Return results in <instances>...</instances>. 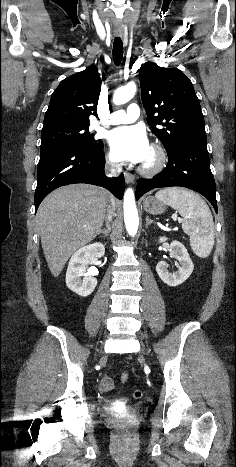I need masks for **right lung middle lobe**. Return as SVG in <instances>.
<instances>
[{"label":"right lung middle lobe","mask_w":236,"mask_h":467,"mask_svg":"<svg viewBox=\"0 0 236 467\" xmlns=\"http://www.w3.org/2000/svg\"><path fill=\"white\" fill-rule=\"evenodd\" d=\"M89 125H62L43 129L41 131L40 150L58 145H73L88 150H98L102 140H95L89 133Z\"/></svg>","instance_id":"dd1d6c3e"}]
</instances>
